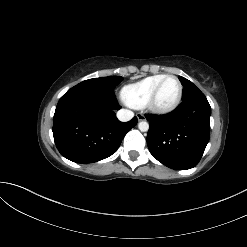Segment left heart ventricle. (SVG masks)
I'll return each mask as SVG.
<instances>
[{"label":"left heart ventricle","mask_w":247,"mask_h":247,"mask_svg":"<svg viewBox=\"0 0 247 247\" xmlns=\"http://www.w3.org/2000/svg\"><path fill=\"white\" fill-rule=\"evenodd\" d=\"M179 91L178 83L175 79L170 78L162 85L158 97L157 104L160 107L171 105L177 98Z\"/></svg>","instance_id":"b2bd125f"}]
</instances>
